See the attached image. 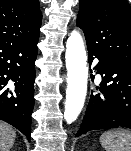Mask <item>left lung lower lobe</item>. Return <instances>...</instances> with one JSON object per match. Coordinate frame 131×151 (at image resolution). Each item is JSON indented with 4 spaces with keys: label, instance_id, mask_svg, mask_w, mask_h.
Wrapping results in <instances>:
<instances>
[{
    "label": "left lung lower lobe",
    "instance_id": "0a47b994",
    "mask_svg": "<svg viewBox=\"0 0 131 151\" xmlns=\"http://www.w3.org/2000/svg\"><path fill=\"white\" fill-rule=\"evenodd\" d=\"M98 58L94 67L101 74L99 92H91L82 123L75 135L79 137L92 130L111 128L131 129V67L101 52L88 48V61ZM92 81L94 75H92Z\"/></svg>",
    "mask_w": 131,
    "mask_h": 151
}]
</instances>
